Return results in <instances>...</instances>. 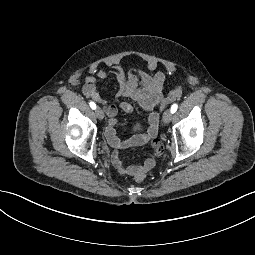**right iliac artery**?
Returning <instances> with one entry per match:
<instances>
[{"instance_id": "obj_1", "label": "right iliac artery", "mask_w": 255, "mask_h": 255, "mask_svg": "<svg viewBox=\"0 0 255 255\" xmlns=\"http://www.w3.org/2000/svg\"><path fill=\"white\" fill-rule=\"evenodd\" d=\"M90 107H91L92 109H96V104H95L94 102H90Z\"/></svg>"}]
</instances>
